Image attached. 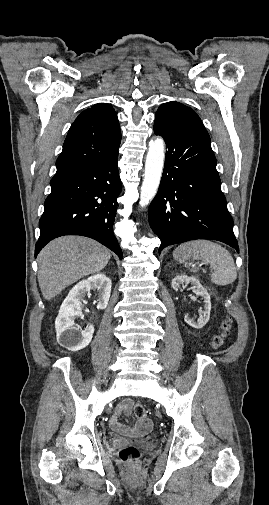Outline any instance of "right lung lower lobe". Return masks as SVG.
<instances>
[{
    "instance_id": "right-lung-lower-lobe-1",
    "label": "right lung lower lobe",
    "mask_w": 269,
    "mask_h": 505,
    "mask_svg": "<svg viewBox=\"0 0 269 505\" xmlns=\"http://www.w3.org/2000/svg\"><path fill=\"white\" fill-rule=\"evenodd\" d=\"M118 149L73 169L56 173L40 218L35 257L54 238L81 235L102 243L120 259L122 250L112 232L116 198L121 191Z\"/></svg>"
}]
</instances>
